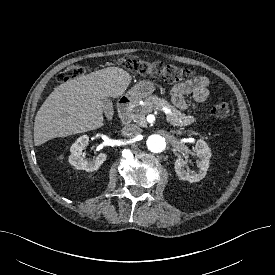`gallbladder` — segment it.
<instances>
[{
  "label": "gallbladder",
  "instance_id": "bac80fb5",
  "mask_svg": "<svg viewBox=\"0 0 275 275\" xmlns=\"http://www.w3.org/2000/svg\"><path fill=\"white\" fill-rule=\"evenodd\" d=\"M103 110L106 115H110L113 112V104L109 98L103 100Z\"/></svg>",
  "mask_w": 275,
  "mask_h": 275
}]
</instances>
